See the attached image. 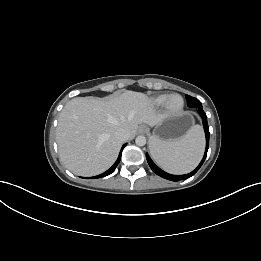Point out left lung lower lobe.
I'll use <instances>...</instances> for the list:
<instances>
[{
    "label": "left lung lower lobe",
    "instance_id": "0a47b994",
    "mask_svg": "<svg viewBox=\"0 0 261 261\" xmlns=\"http://www.w3.org/2000/svg\"><path fill=\"white\" fill-rule=\"evenodd\" d=\"M198 109V112L200 114V116L202 117V122H203V127H204V131H205V136H206V148H205V153H204V156H203V159L202 161L200 162V164L196 167L195 170H193L191 173H188V174H185V175H172V174H169V173H166L165 171L161 170L149 157L148 154H146V158H147V162L150 166V168L152 169V171L154 173H156L157 175L165 178V179H168V180H171V181H180V180H184V179H188L190 178L191 176H193L199 169L200 167L202 166V164L204 163L205 161V158H206V155H207V151H208V148H209V126H208V122H207V116L203 110L202 107H199L197 108Z\"/></svg>",
    "mask_w": 261,
    "mask_h": 261
}]
</instances>
